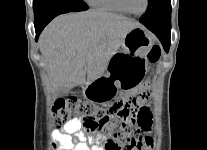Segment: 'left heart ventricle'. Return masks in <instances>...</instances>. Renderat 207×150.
<instances>
[{
    "mask_svg": "<svg viewBox=\"0 0 207 150\" xmlns=\"http://www.w3.org/2000/svg\"><path fill=\"white\" fill-rule=\"evenodd\" d=\"M130 9L134 12H141L145 7V0H127Z\"/></svg>",
    "mask_w": 207,
    "mask_h": 150,
    "instance_id": "obj_1",
    "label": "left heart ventricle"
}]
</instances>
